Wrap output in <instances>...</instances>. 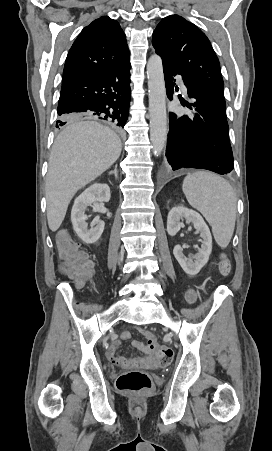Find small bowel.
Returning <instances> with one entry per match:
<instances>
[{
	"label": "small bowel",
	"mask_w": 272,
	"mask_h": 451,
	"mask_svg": "<svg viewBox=\"0 0 272 451\" xmlns=\"http://www.w3.org/2000/svg\"><path fill=\"white\" fill-rule=\"evenodd\" d=\"M196 298H197V295H196L195 291L190 290V291L187 292V294H186V301H187L188 303H193V302H195ZM141 332H142L143 335L145 336L146 341H147V338H148L150 335H152L150 332H148V331H146V330H144V329H142ZM122 338H124V339H131V338H132V334H131L130 332H124V333L122 334ZM132 345H133L136 349H138V348H145V345H146V344L143 343V342H140V341H138V340H133ZM120 347H121V342H120V341H118V340H112V341L108 344L107 349H106V356H107V358H108L109 352H117V350H118Z\"/></svg>",
	"instance_id": "small-bowel-1"
}]
</instances>
